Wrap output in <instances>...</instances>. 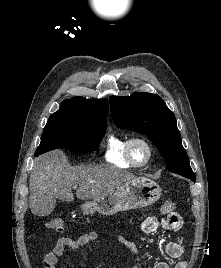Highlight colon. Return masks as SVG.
Masks as SVG:
<instances>
[{"mask_svg": "<svg viewBox=\"0 0 221 268\" xmlns=\"http://www.w3.org/2000/svg\"><path fill=\"white\" fill-rule=\"evenodd\" d=\"M175 207L176 204L174 200L167 199L161 205V211L168 216L174 213ZM63 224V220L60 217H53L46 222L45 227L50 230L60 231L63 228Z\"/></svg>", "mask_w": 221, "mask_h": 268, "instance_id": "5ec220e1", "label": "colon"}]
</instances>
